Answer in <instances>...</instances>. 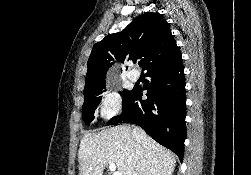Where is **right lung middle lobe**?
<instances>
[{
  "mask_svg": "<svg viewBox=\"0 0 251 175\" xmlns=\"http://www.w3.org/2000/svg\"><path fill=\"white\" fill-rule=\"evenodd\" d=\"M105 91L106 85L84 88V104L82 106V117L86 124H90V122L94 119V111L100 102L102 93ZM128 92L129 91L124 90L123 92L119 93L124 97Z\"/></svg>",
  "mask_w": 251,
  "mask_h": 175,
  "instance_id": "right-lung-middle-lobe-1",
  "label": "right lung middle lobe"
}]
</instances>
